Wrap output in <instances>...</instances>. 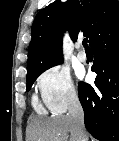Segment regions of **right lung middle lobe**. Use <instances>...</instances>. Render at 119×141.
<instances>
[{"label":"right lung middle lobe","instance_id":"obj_1","mask_svg":"<svg viewBox=\"0 0 119 141\" xmlns=\"http://www.w3.org/2000/svg\"><path fill=\"white\" fill-rule=\"evenodd\" d=\"M41 73H42V72H37V73H33V74L27 75V91L30 90L32 84L34 83V81L37 79V77H38Z\"/></svg>","mask_w":119,"mask_h":141}]
</instances>
